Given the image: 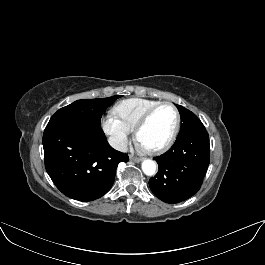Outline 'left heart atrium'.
Wrapping results in <instances>:
<instances>
[{
    "instance_id": "1",
    "label": "left heart atrium",
    "mask_w": 265,
    "mask_h": 265,
    "mask_svg": "<svg viewBox=\"0 0 265 265\" xmlns=\"http://www.w3.org/2000/svg\"><path fill=\"white\" fill-rule=\"evenodd\" d=\"M139 144H140L141 147L145 148L140 142H139Z\"/></svg>"
}]
</instances>
